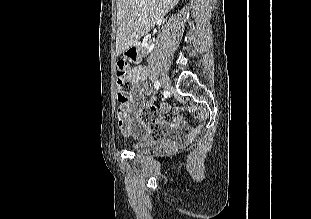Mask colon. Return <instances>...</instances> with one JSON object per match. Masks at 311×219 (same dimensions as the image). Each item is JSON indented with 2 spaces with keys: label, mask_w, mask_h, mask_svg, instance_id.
Listing matches in <instances>:
<instances>
[{
  "label": "colon",
  "mask_w": 311,
  "mask_h": 219,
  "mask_svg": "<svg viewBox=\"0 0 311 219\" xmlns=\"http://www.w3.org/2000/svg\"><path fill=\"white\" fill-rule=\"evenodd\" d=\"M131 49L129 50L130 56L133 55ZM116 80L118 102L120 105H125L129 102L134 87V69L130 67L126 60L117 61ZM152 139L156 140L158 136L153 135Z\"/></svg>",
  "instance_id": "colon-1"
}]
</instances>
